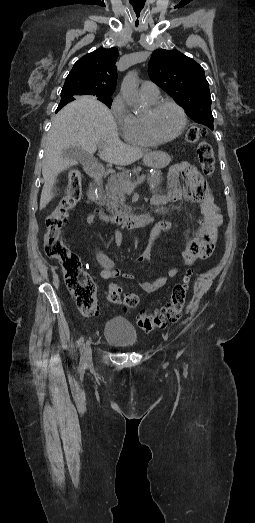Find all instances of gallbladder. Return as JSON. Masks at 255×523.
Wrapping results in <instances>:
<instances>
[{
	"mask_svg": "<svg viewBox=\"0 0 255 523\" xmlns=\"http://www.w3.org/2000/svg\"><path fill=\"white\" fill-rule=\"evenodd\" d=\"M62 156L63 158H67V160H77L82 166H87V164L92 162L91 154H87L81 146H71V148L62 150Z\"/></svg>",
	"mask_w": 255,
	"mask_h": 523,
	"instance_id": "bac80fb5",
	"label": "gallbladder"
}]
</instances>
